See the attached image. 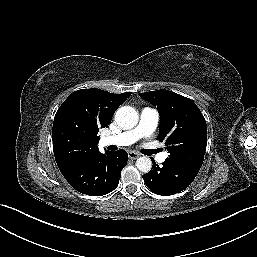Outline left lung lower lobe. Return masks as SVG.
Segmentation results:
<instances>
[{"label":"left lung lower lobe","mask_w":257,"mask_h":257,"mask_svg":"<svg viewBox=\"0 0 257 257\" xmlns=\"http://www.w3.org/2000/svg\"><path fill=\"white\" fill-rule=\"evenodd\" d=\"M159 167L153 161V168L143 175L145 184L158 195L168 196L186 189L195 179L200 168L182 160L167 158Z\"/></svg>","instance_id":"left-lung-lower-lobe-1"}]
</instances>
